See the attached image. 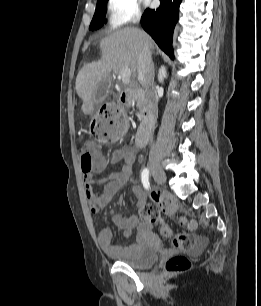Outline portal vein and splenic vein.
<instances>
[{
  "mask_svg": "<svg viewBox=\"0 0 261 306\" xmlns=\"http://www.w3.org/2000/svg\"><path fill=\"white\" fill-rule=\"evenodd\" d=\"M130 77H131L130 68H123L118 75V78H120L122 80L123 84H125V85L129 84Z\"/></svg>",
  "mask_w": 261,
  "mask_h": 306,
  "instance_id": "obj_1",
  "label": "portal vein and splenic vein"
}]
</instances>
